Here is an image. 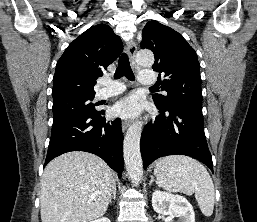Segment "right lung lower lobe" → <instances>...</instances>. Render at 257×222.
Masks as SVG:
<instances>
[{
	"label": "right lung lower lobe",
	"mask_w": 257,
	"mask_h": 222,
	"mask_svg": "<svg viewBox=\"0 0 257 222\" xmlns=\"http://www.w3.org/2000/svg\"><path fill=\"white\" fill-rule=\"evenodd\" d=\"M102 110L91 116H71L53 122L44 167L70 151H86L101 157L120 178L124 169L121 120L107 121Z\"/></svg>",
	"instance_id": "right-lung-lower-lobe-1"
}]
</instances>
